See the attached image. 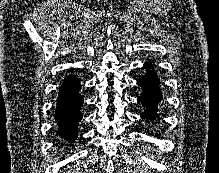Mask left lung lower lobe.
Masks as SVG:
<instances>
[{
	"instance_id": "1",
	"label": "left lung lower lobe",
	"mask_w": 219,
	"mask_h": 173,
	"mask_svg": "<svg viewBox=\"0 0 219 173\" xmlns=\"http://www.w3.org/2000/svg\"><path fill=\"white\" fill-rule=\"evenodd\" d=\"M147 73L138 80V85L143 88L138 101L146 106V110L141 114V118L153 121L157 117V106L162 98L160 81L154 71H149L151 64H145Z\"/></svg>"
}]
</instances>
